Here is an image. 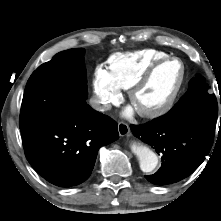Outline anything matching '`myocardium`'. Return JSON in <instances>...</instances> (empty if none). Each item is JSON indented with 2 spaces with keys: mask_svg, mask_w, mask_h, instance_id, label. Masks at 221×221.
Masks as SVG:
<instances>
[{
  "mask_svg": "<svg viewBox=\"0 0 221 221\" xmlns=\"http://www.w3.org/2000/svg\"><path fill=\"white\" fill-rule=\"evenodd\" d=\"M170 62H179L181 64L182 67V74H181V78L180 81L176 87V89L174 90V92L172 93V95L170 96V98L163 103L162 105H160L157 108L154 109H149V110H144V109H136L138 114L146 119H156V118H160L164 115H166L168 112L171 111V109L175 106L176 102L178 101L184 86L186 84L187 81V68L185 63L183 62V60H181L180 58L177 57H166L163 59H160L158 61H156L155 63H153L143 74L142 76L137 79L128 89V97H129V101L131 102V104L133 105L134 103V98L135 95L138 93V91L140 89H142L153 77V75L155 74V72L163 65L170 63Z\"/></svg>",
  "mask_w": 221,
  "mask_h": 221,
  "instance_id": "f54148a6",
  "label": "myocardium"
}]
</instances>
